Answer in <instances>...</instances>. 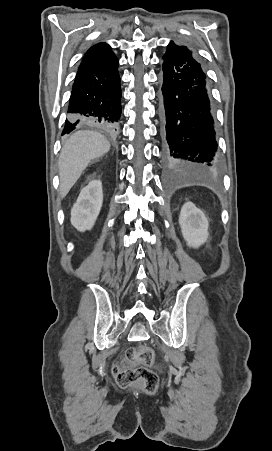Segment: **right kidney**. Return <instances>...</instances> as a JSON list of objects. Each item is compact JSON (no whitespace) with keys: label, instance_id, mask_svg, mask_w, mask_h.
I'll use <instances>...</instances> for the list:
<instances>
[{"label":"right kidney","instance_id":"right-kidney-1","mask_svg":"<svg viewBox=\"0 0 272 451\" xmlns=\"http://www.w3.org/2000/svg\"><path fill=\"white\" fill-rule=\"evenodd\" d=\"M103 204V190L101 180H92L81 190L76 204L71 210L70 222L72 226L85 231L94 226Z\"/></svg>","mask_w":272,"mask_h":451}]
</instances>
